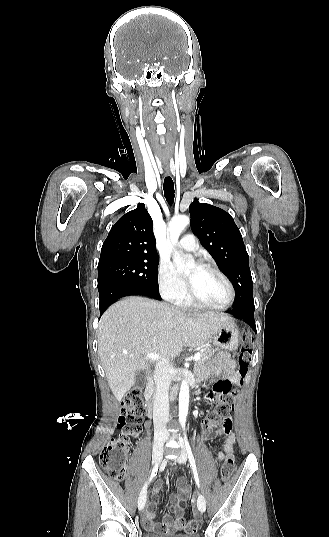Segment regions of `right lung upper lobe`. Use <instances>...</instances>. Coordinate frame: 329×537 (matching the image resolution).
Instances as JSON below:
<instances>
[{
    "label": "right lung upper lobe",
    "mask_w": 329,
    "mask_h": 537,
    "mask_svg": "<svg viewBox=\"0 0 329 537\" xmlns=\"http://www.w3.org/2000/svg\"><path fill=\"white\" fill-rule=\"evenodd\" d=\"M152 227L153 221L145 205L139 203L111 228L102 245L99 264L158 258Z\"/></svg>",
    "instance_id": "obj_1"
}]
</instances>
